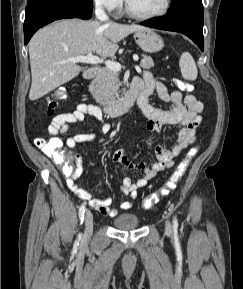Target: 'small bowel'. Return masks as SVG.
I'll return each mask as SVG.
<instances>
[{"label": "small bowel", "mask_w": 243, "mask_h": 289, "mask_svg": "<svg viewBox=\"0 0 243 289\" xmlns=\"http://www.w3.org/2000/svg\"><path fill=\"white\" fill-rule=\"evenodd\" d=\"M131 87L141 89L147 94L139 109L149 119L146 126L148 131L160 133L167 125L178 127L176 144L171 149L161 145L157 146V161L153 164L149 165L145 162L134 163L127 157L124 150L115 152L113 156L115 163L126 170H140L143 173V176L136 181H132L130 177H125L122 181V194L129 195L134 200L138 195L139 189L145 187L161 171L171 168L174 165V159L194 142L196 129L202 119L203 103L192 94H183L180 91L170 93L166 86L156 80L149 71H145L141 77L135 78ZM154 90L163 102L172 103L173 106L170 110H160L149 103L148 97ZM87 116L101 122L102 134H108L111 131V125L103 119L98 107L80 103L74 111L56 115L48 127V134L54 138H58L59 135H66L68 128L72 124L82 122ZM94 138V134L91 133L76 134L68 137L65 144L68 148L73 149L79 143L90 142ZM72 156L75 166L68 173L66 180L68 188L81 200L88 202L100 214L111 217L116 216L118 210L111 207L112 199L110 197L103 200L97 199L85 187L76 183V180L83 172V162L78 153ZM132 204V201H124L121 203L120 208L127 210L132 207Z\"/></svg>", "instance_id": "small-bowel-1"}]
</instances>
